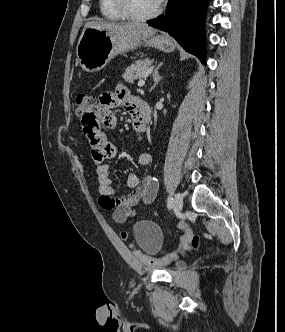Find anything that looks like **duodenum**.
<instances>
[{"label":"duodenum","instance_id":"1","mask_svg":"<svg viewBox=\"0 0 285 332\" xmlns=\"http://www.w3.org/2000/svg\"><path fill=\"white\" fill-rule=\"evenodd\" d=\"M137 106L143 124L145 126L148 125L151 122V111L149 105L142 100H137Z\"/></svg>","mask_w":285,"mask_h":332}]
</instances>
